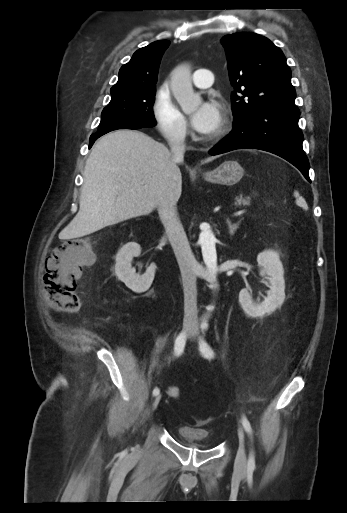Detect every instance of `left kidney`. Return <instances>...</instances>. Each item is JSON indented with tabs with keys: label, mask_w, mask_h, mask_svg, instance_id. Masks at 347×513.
Returning a JSON list of instances; mask_svg holds the SVG:
<instances>
[{
	"label": "left kidney",
	"mask_w": 347,
	"mask_h": 513,
	"mask_svg": "<svg viewBox=\"0 0 347 513\" xmlns=\"http://www.w3.org/2000/svg\"><path fill=\"white\" fill-rule=\"evenodd\" d=\"M260 275L269 280L270 290L262 303L254 302L251 288H244L239 293V302L244 312L250 317L270 315L281 307L285 299V280L283 265L279 254L274 250H264L257 256Z\"/></svg>",
	"instance_id": "left-kidney-1"
}]
</instances>
